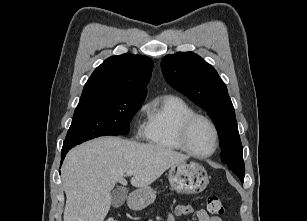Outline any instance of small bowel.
Wrapping results in <instances>:
<instances>
[{
    "label": "small bowel",
    "instance_id": "obj_1",
    "mask_svg": "<svg viewBox=\"0 0 307 221\" xmlns=\"http://www.w3.org/2000/svg\"><path fill=\"white\" fill-rule=\"evenodd\" d=\"M195 214L198 221H222L218 216L210 215L204 209L195 211L190 205H176L168 212L167 221H175L176 216Z\"/></svg>",
    "mask_w": 307,
    "mask_h": 221
}]
</instances>
